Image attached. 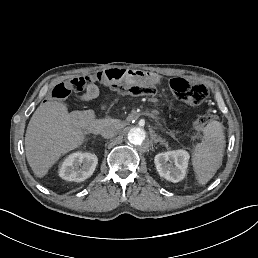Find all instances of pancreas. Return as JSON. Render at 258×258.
I'll return each mask as SVG.
<instances>
[{
	"label": "pancreas",
	"mask_w": 258,
	"mask_h": 258,
	"mask_svg": "<svg viewBox=\"0 0 258 258\" xmlns=\"http://www.w3.org/2000/svg\"><path fill=\"white\" fill-rule=\"evenodd\" d=\"M135 118H144L147 121L150 120V119H154L156 124L159 125V126L162 125L163 122H164L159 113L151 112V111H141L139 109L136 110V111H132L129 114H127L125 116V121L126 122H131ZM117 124L118 125H123L124 124V118L123 117H118L117 118ZM171 135L174 136V134H171Z\"/></svg>",
	"instance_id": "1"
}]
</instances>
